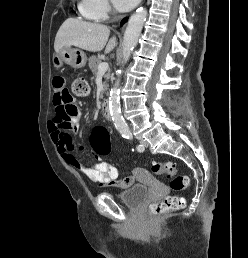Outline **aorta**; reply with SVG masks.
<instances>
[{
	"mask_svg": "<svg viewBox=\"0 0 248 258\" xmlns=\"http://www.w3.org/2000/svg\"><path fill=\"white\" fill-rule=\"evenodd\" d=\"M147 10L144 8L138 9L130 18L127 28L124 33L123 39V60L122 65H124L131 55L132 50L136 47L138 43L139 36L141 34L143 24L146 21ZM118 79L111 88L109 95V110L112 120L117 128V130L122 134H129V128L124 121L121 114L120 108V79L122 74V69L117 71Z\"/></svg>",
	"mask_w": 248,
	"mask_h": 258,
	"instance_id": "1",
	"label": "aorta"
}]
</instances>
